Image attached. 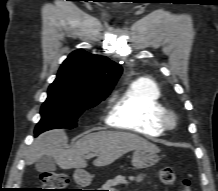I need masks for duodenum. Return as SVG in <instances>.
Instances as JSON below:
<instances>
[{"instance_id":"duodenum-1","label":"duodenum","mask_w":218,"mask_h":191,"mask_svg":"<svg viewBox=\"0 0 218 191\" xmlns=\"http://www.w3.org/2000/svg\"><path fill=\"white\" fill-rule=\"evenodd\" d=\"M76 180L82 184H86L88 182L87 174L83 169L76 171Z\"/></svg>"}]
</instances>
